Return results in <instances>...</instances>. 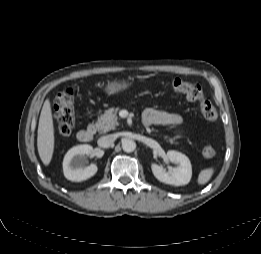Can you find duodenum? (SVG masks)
I'll list each match as a JSON object with an SVG mask.
<instances>
[{"label": "duodenum", "instance_id": "410a0bca", "mask_svg": "<svg viewBox=\"0 0 261 254\" xmlns=\"http://www.w3.org/2000/svg\"><path fill=\"white\" fill-rule=\"evenodd\" d=\"M95 135V129L93 127H89L87 129H83L78 133L79 141L83 143L90 142Z\"/></svg>", "mask_w": 261, "mask_h": 254}]
</instances>
